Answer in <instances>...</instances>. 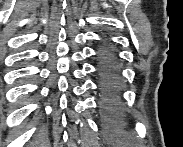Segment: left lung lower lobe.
<instances>
[{"label": "left lung lower lobe", "mask_w": 183, "mask_h": 147, "mask_svg": "<svg viewBox=\"0 0 183 147\" xmlns=\"http://www.w3.org/2000/svg\"><path fill=\"white\" fill-rule=\"evenodd\" d=\"M100 76V112L104 130L107 133H119L124 130V121L117 105L118 72L114 57L108 51H103L98 66Z\"/></svg>", "instance_id": "0a47b994"}]
</instances>
